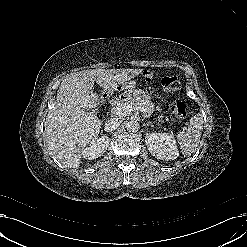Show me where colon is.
I'll use <instances>...</instances> for the list:
<instances>
[{
    "instance_id": "1",
    "label": "colon",
    "mask_w": 247,
    "mask_h": 247,
    "mask_svg": "<svg viewBox=\"0 0 247 247\" xmlns=\"http://www.w3.org/2000/svg\"><path fill=\"white\" fill-rule=\"evenodd\" d=\"M161 85L167 92L182 94L183 87L180 80L175 76H164L161 79ZM171 112L180 119H183L187 115L186 104L178 97L171 105Z\"/></svg>"
}]
</instances>
